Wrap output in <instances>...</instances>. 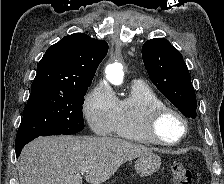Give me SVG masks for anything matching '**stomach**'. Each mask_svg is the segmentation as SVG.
<instances>
[{"label":"stomach","mask_w":224,"mask_h":184,"mask_svg":"<svg viewBox=\"0 0 224 184\" xmlns=\"http://www.w3.org/2000/svg\"><path fill=\"white\" fill-rule=\"evenodd\" d=\"M161 165V158L154 154L149 153L137 158L135 162L136 172L141 176H148L155 173Z\"/></svg>","instance_id":"stomach-1"}]
</instances>
